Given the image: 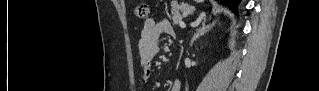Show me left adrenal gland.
I'll return each mask as SVG.
<instances>
[{
    "mask_svg": "<svg viewBox=\"0 0 319 91\" xmlns=\"http://www.w3.org/2000/svg\"><path fill=\"white\" fill-rule=\"evenodd\" d=\"M212 24L206 25V19L204 18L202 22V26L196 30L194 33L190 45L192 46L193 42L198 39L200 36H202L209 28H211Z\"/></svg>",
    "mask_w": 319,
    "mask_h": 91,
    "instance_id": "a2214340",
    "label": "left adrenal gland"
}]
</instances>
